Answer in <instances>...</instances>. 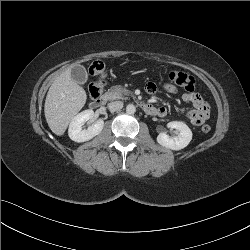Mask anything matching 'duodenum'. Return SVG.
<instances>
[{
	"mask_svg": "<svg viewBox=\"0 0 250 250\" xmlns=\"http://www.w3.org/2000/svg\"><path fill=\"white\" fill-rule=\"evenodd\" d=\"M108 98H109L108 95H102V96L93 98L91 101V107L92 108L103 107L107 103ZM140 106L144 110V112L149 114V115H156L157 114V109L154 106H152L151 104L141 103Z\"/></svg>",
	"mask_w": 250,
	"mask_h": 250,
	"instance_id": "obj_1",
	"label": "duodenum"
}]
</instances>
